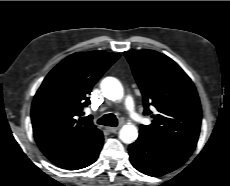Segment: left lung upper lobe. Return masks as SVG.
<instances>
[{
	"label": "left lung upper lobe",
	"mask_w": 230,
	"mask_h": 186,
	"mask_svg": "<svg viewBox=\"0 0 230 186\" xmlns=\"http://www.w3.org/2000/svg\"><path fill=\"white\" fill-rule=\"evenodd\" d=\"M141 89L144 114H152V124L141 125L140 135L157 141L195 148L202 119L196 88L179 65L153 50L124 52Z\"/></svg>",
	"instance_id": "1"
}]
</instances>
